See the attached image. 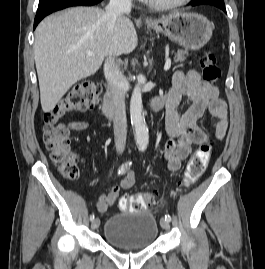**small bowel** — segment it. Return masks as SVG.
Wrapping results in <instances>:
<instances>
[{
  "instance_id": "small-bowel-1",
  "label": "small bowel",
  "mask_w": 265,
  "mask_h": 269,
  "mask_svg": "<svg viewBox=\"0 0 265 269\" xmlns=\"http://www.w3.org/2000/svg\"><path fill=\"white\" fill-rule=\"evenodd\" d=\"M182 97L186 98L187 109L180 113L179 107ZM166 105V132L169 136L163 148V157L170 171L180 169L182 162L187 159L196 144L206 140L204 132L197 125V121L206 110L216 118L214 124L215 135L223 139L227 130L226 103L219 97V90L213 84L201 79L195 70L178 71L173 76L172 86L163 96ZM71 128L83 130V123H73ZM135 174L129 171L118 185L112 186L102 193L97 201L99 212L105 213L115 203L122 190L134 186Z\"/></svg>"
}]
</instances>
